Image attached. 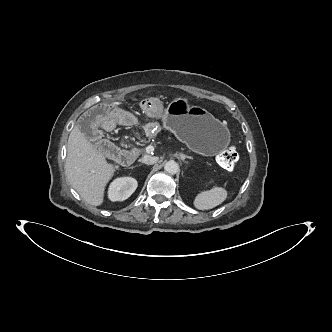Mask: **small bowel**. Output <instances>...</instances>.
Instances as JSON below:
<instances>
[{"mask_svg":"<svg viewBox=\"0 0 332 332\" xmlns=\"http://www.w3.org/2000/svg\"><path fill=\"white\" fill-rule=\"evenodd\" d=\"M139 108L147 112L151 118H157L163 113V103L153 98H145L140 101ZM112 115V107L107 102H96L91 105L89 110L81 113L75 120V127L82 132V137L87 142H96L103 135V128L100 123H104L106 130H112L115 122L109 119ZM115 119L119 123L134 127L138 123V118L134 114H127L124 110H119L115 114Z\"/></svg>","mask_w":332,"mask_h":332,"instance_id":"obj_1","label":"small bowel"}]
</instances>
